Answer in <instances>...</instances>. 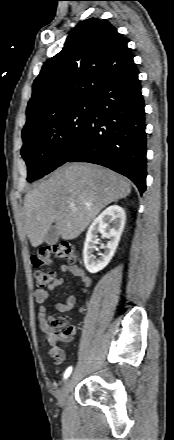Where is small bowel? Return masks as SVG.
Segmentation results:
<instances>
[{"label":"small bowel","mask_w":174,"mask_h":440,"mask_svg":"<svg viewBox=\"0 0 174 440\" xmlns=\"http://www.w3.org/2000/svg\"><path fill=\"white\" fill-rule=\"evenodd\" d=\"M60 270L63 273H70L73 276H75L76 278H78L83 284V291H85L86 288H88L91 284L90 278L86 275L84 270L78 265L62 264L60 266ZM62 284H63V278H58V279H55L47 288H39L35 291V300H36L37 304L39 305L38 319L40 322V327L45 332V334L47 336H49L51 329L48 325V314H47V308L45 306V303L49 298V291L56 288V287H59ZM76 303H77V298L75 296H69L64 303H62V302L56 303L55 309L59 312H67V311H70L72 308H74ZM84 310H85V308L83 306H81L78 309V312L83 313ZM49 354L54 359V362L57 365L62 364L65 359V354H64L63 350H61L60 348H58L57 346H55L53 344H51V346L49 348Z\"/></svg>","instance_id":"c3829d8e"}]
</instances>
